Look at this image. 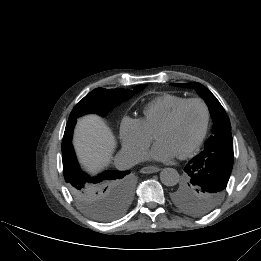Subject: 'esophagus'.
I'll return each instance as SVG.
<instances>
[{"instance_id":"34e87169","label":"esophagus","mask_w":261,"mask_h":261,"mask_svg":"<svg viewBox=\"0 0 261 261\" xmlns=\"http://www.w3.org/2000/svg\"><path fill=\"white\" fill-rule=\"evenodd\" d=\"M158 171H160V168L156 166H146L141 169V173L144 174L156 173Z\"/></svg>"}]
</instances>
